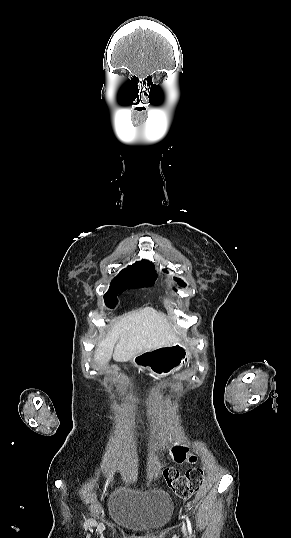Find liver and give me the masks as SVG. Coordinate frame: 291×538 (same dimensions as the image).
<instances>
[{
    "label": "liver",
    "mask_w": 291,
    "mask_h": 538,
    "mask_svg": "<svg viewBox=\"0 0 291 538\" xmlns=\"http://www.w3.org/2000/svg\"><path fill=\"white\" fill-rule=\"evenodd\" d=\"M176 341L178 338L165 315L152 307H145L115 320L107 336L97 346L95 361L107 363L113 349L114 359L131 360L136 354L171 346Z\"/></svg>",
    "instance_id": "obj_1"
}]
</instances>
